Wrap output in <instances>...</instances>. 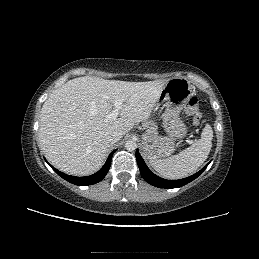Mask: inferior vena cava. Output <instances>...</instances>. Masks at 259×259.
<instances>
[{
	"mask_svg": "<svg viewBox=\"0 0 259 259\" xmlns=\"http://www.w3.org/2000/svg\"><path fill=\"white\" fill-rule=\"evenodd\" d=\"M122 137V134L121 132L119 131H111L107 134L106 136V140L109 142V143H116L118 142Z\"/></svg>",
	"mask_w": 259,
	"mask_h": 259,
	"instance_id": "obj_1",
	"label": "inferior vena cava"
}]
</instances>
